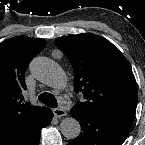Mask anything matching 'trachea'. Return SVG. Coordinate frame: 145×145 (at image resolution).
<instances>
[{"label":"trachea","mask_w":145,"mask_h":145,"mask_svg":"<svg viewBox=\"0 0 145 145\" xmlns=\"http://www.w3.org/2000/svg\"><path fill=\"white\" fill-rule=\"evenodd\" d=\"M38 100L51 108H56L58 105L57 99L51 93H47V92L42 93L41 95H39Z\"/></svg>","instance_id":"3493384b"}]
</instances>
